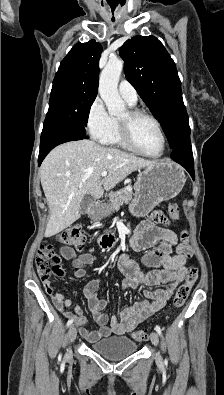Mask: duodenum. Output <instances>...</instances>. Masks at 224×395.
Instances as JSON below:
<instances>
[{
    "instance_id": "410a0bca",
    "label": "duodenum",
    "mask_w": 224,
    "mask_h": 395,
    "mask_svg": "<svg viewBox=\"0 0 224 395\" xmlns=\"http://www.w3.org/2000/svg\"><path fill=\"white\" fill-rule=\"evenodd\" d=\"M98 204H99L98 201H96V202L94 203V205H93L92 208H91L90 214L93 213V209H94ZM117 242H118V239H117L116 235H114V234H112V233H107V234H104V235H102V236L99 237V243H100V246H101L103 249H111V248H113V247L117 244Z\"/></svg>"
}]
</instances>
